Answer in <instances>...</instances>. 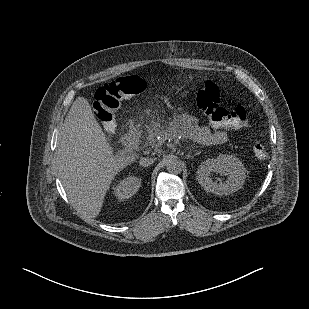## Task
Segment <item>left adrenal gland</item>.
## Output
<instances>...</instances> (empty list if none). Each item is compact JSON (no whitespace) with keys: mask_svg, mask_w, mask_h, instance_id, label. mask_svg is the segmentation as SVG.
Listing matches in <instances>:
<instances>
[{"mask_svg":"<svg viewBox=\"0 0 309 309\" xmlns=\"http://www.w3.org/2000/svg\"><path fill=\"white\" fill-rule=\"evenodd\" d=\"M198 154H199V153H195L194 156H195V155H198ZM194 156H191V155H190V152H189V155H188L189 158H193Z\"/></svg>","mask_w":309,"mask_h":309,"instance_id":"a2214340","label":"left adrenal gland"}]
</instances>
